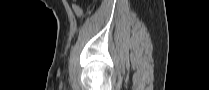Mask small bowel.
<instances>
[{"instance_id": "small-bowel-1", "label": "small bowel", "mask_w": 209, "mask_h": 90, "mask_svg": "<svg viewBox=\"0 0 209 90\" xmlns=\"http://www.w3.org/2000/svg\"><path fill=\"white\" fill-rule=\"evenodd\" d=\"M72 8H73L74 13H75L77 16H81L82 10H81V8H80L78 5L72 4Z\"/></svg>"}]
</instances>
